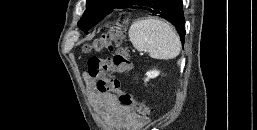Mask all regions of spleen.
Returning a JSON list of instances; mask_svg holds the SVG:
<instances>
[{
    "label": "spleen",
    "mask_w": 257,
    "mask_h": 130,
    "mask_svg": "<svg viewBox=\"0 0 257 130\" xmlns=\"http://www.w3.org/2000/svg\"><path fill=\"white\" fill-rule=\"evenodd\" d=\"M129 39L138 51L146 52L154 59H174L181 50L180 38L174 28L153 17L134 21L129 29Z\"/></svg>",
    "instance_id": "obj_1"
}]
</instances>
